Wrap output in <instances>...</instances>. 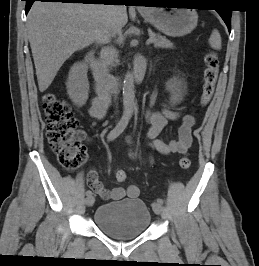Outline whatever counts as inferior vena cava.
I'll list each match as a JSON object with an SVG mask.
<instances>
[{
    "label": "inferior vena cava",
    "instance_id": "obj_1",
    "mask_svg": "<svg viewBox=\"0 0 259 266\" xmlns=\"http://www.w3.org/2000/svg\"><path fill=\"white\" fill-rule=\"evenodd\" d=\"M118 31L119 29L116 26L109 28L107 31V39H110V37L115 35Z\"/></svg>",
    "mask_w": 259,
    "mask_h": 266
}]
</instances>
